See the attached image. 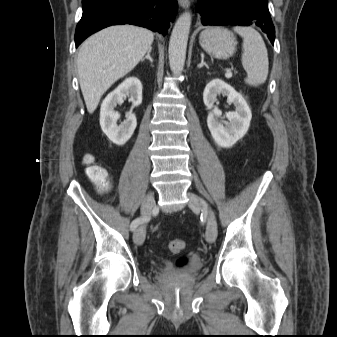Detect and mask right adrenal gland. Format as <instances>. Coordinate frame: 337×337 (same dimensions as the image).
Listing matches in <instances>:
<instances>
[{
    "mask_svg": "<svg viewBox=\"0 0 337 337\" xmlns=\"http://www.w3.org/2000/svg\"><path fill=\"white\" fill-rule=\"evenodd\" d=\"M151 51H152V48H150L148 50L147 55L144 58H142L141 61H144L145 59H148L151 63H153V59L150 56Z\"/></svg>",
    "mask_w": 337,
    "mask_h": 337,
    "instance_id": "right-adrenal-gland-1",
    "label": "right adrenal gland"
}]
</instances>
